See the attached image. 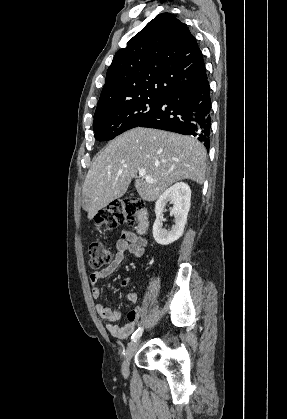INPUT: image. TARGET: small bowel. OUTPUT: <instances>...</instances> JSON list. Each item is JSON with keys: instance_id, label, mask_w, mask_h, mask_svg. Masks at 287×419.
I'll return each instance as SVG.
<instances>
[{"instance_id": "small-bowel-1", "label": "small bowel", "mask_w": 287, "mask_h": 419, "mask_svg": "<svg viewBox=\"0 0 287 419\" xmlns=\"http://www.w3.org/2000/svg\"><path fill=\"white\" fill-rule=\"evenodd\" d=\"M147 244L146 239L137 236L130 230H124L121 233V237L116 242L117 252L114 255L112 261L102 270L96 271L90 275V282L92 286L91 294L93 298L97 299L100 297V289L98 287L99 281L102 278L110 276L116 271L119 265L124 259L126 251L131 252L136 257H142L144 254V248ZM130 283L129 278H124L120 281L121 287H126ZM138 293L132 292L128 294V300L130 303H136L138 300ZM145 310L144 305L137 306L134 310L128 313L127 323L119 327L116 322L120 318V312L113 310L103 304L96 305V311L101 320L104 322L108 332L117 339H126L134 331L135 326L139 320L140 315Z\"/></svg>"}]
</instances>
